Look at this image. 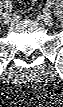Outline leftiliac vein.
<instances>
[{"mask_svg":"<svg viewBox=\"0 0 63 107\" xmlns=\"http://www.w3.org/2000/svg\"><path fill=\"white\" fill-rule=\"evenodd\" d=\"M39 17L43 20V22L47 25H52L53 24V17L49 13H45L44 15H39Z\"/></svg>","mask_w":63,"mask_h":107,"instance_id":"4c4485c4","label":"left iliac vein"}]
</instances>
